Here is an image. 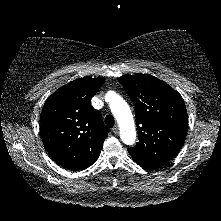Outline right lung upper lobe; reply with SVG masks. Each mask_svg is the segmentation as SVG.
I'll return each instance as SVG.
<instances>
[{
	"instance_id": "right-lung-upper-lobe-1",
	"label": "right lung upper lobe",
	"mask_w": 221,
	"mask_h": 221,
	"mask_svg": "<svg viewBox=\"0 0 221 221\" xmlns=\"http://www.w3.org/2000/svg\"><path fill=\"white\" fill-rule=\"evenodd\" d=\"M105 82L104 78L74 80L50 95L41 113L44 147L60 166L79 171L99 157L109 132L91 98Z\"/></svg>"
}]
</instances>
